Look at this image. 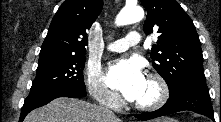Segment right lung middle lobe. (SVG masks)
Listing matches in <instances>:
<instances>
[{
  "label": "right lung middle lobe",
  "mask_w": 221,
  "mask_h": 122,
  "mask_svg": "<svg viewBox=\"0 0 221 122\" xmlns=\"http://www.w3.org/2000/svg\"><path fill=\"white\" fill-rule=\"evenodd\" d=\"M85 56L49 57L39 59L36 78L30 92L55 87H72L85 90L83 69Z\"/></svg>",
  "instance_id": "right-lung-middle-lobe-1"
}]
</instances>
